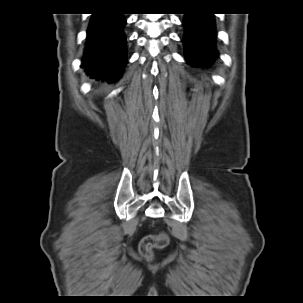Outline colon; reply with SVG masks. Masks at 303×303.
I'll return each mask as SVG.
<instances>
[{
  "label": "colon",
  "instance_id": "obj_1",
  "mask_svg": "<svg viewBox=\"0 0 303 303\" xmlns=\"http://www.w3.org/2000/svg\"><path fill=\"white\" fill-rule=\"evenodd\" d=\"M169 243L168 236L161 232L146 237L140 245V253L146 260H151L155 250L165 248Z\"/></svg>",
  "mask_w": 303,
  "mask_h": 303
}]
</instances>
